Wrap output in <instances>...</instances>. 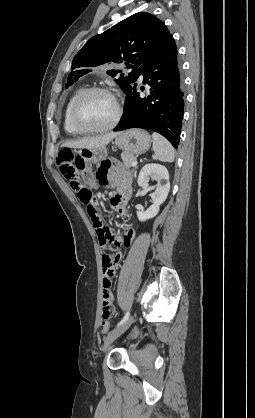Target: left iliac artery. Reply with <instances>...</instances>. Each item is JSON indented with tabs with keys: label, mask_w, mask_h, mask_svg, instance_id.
<instances>
[{
	"label": "left iliac artery",
	"mask_w": 255,
	"mask_h": 418,
	"mask_svg": "<svg viewBox=\"0 0 255 418\" xmlns=\"http://www.w3.org/2000/svg\"><path fill=\"white\" fill-rule=\"evenodd\" d=\"M129 311L126 312L125 316L122 318V320L117 324V327L120 326L121 324H123L124 322H126L129 318Z\"/></svg>",
	"instance_id": "1"
}]
</instances>
